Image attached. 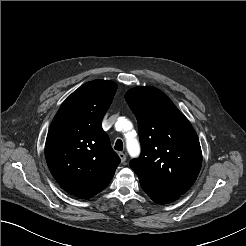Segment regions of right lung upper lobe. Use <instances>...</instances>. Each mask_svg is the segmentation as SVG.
I'll use <instances>...</instances> for the list:
<instances>
[{
	"label": "right lung upper lobe",
	"instance_id": "1",
	"mask_svg": "<svg viewBox=\"0 0 246 246\" xmlns=\"http://www.w3.org/2000/svg\"><path fill=\"white\" fill-rule=\"evenodd\" d=\"M116 90L112 81L83 84L63 102L47 135L49 170L66 192L82 199L105 189L120 163L101 126Z\"/></svg>",
	"mask_w": 246,
	"mask_h": 246
}]
</instances>
